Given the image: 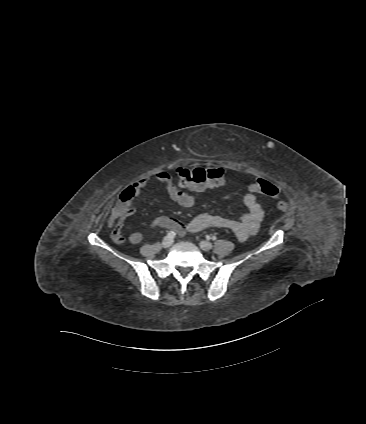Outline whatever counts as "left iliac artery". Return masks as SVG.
Wrapping results in <instances>:
<instances>
[{"label":"left iliac artery","mask_w":366,"mask_h":424,"mask_svg":"<svg viewBox=\"0 0 366 424\" xmlns=\"http://www.w3.org/2000/svg\"><path fill=\"white\" fill-rule=\"evenodd\" d=\"M213 241H215L216 239H217V237L216 236H212V238H211Z\"/></svg>","instance_id":"obj_1"}]
</instances>
